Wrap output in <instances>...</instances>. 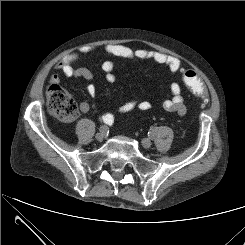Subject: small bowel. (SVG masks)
Here are the masks:
<instances>
[{
    "instance_id": "small-bowel-1",
    "label": "small bowel",
    "mask_w": 245,
    "mask_h": 245,
    "mask_svg": "<svg viewBox=\"0 0 245 245\" xmlns=\"http://www.w3.org/2000/svg\"><path fill=\"white\" fill-rule=\"evenodd\" d=\"M95 48L90 46H85L79 49L78 52L65 56L61 61L55 65L56 70H60L67 77H78L85 80H90L93 77L92 72L87 68H75L74 64L79 60V58ZM106 54L116 57L119 59L127 61H144L151 60L157 64L164 65L166 69L172 74H176L181 69V62L178 58L160 53L152 50H133L123 45L110 44L104 48ZM102 70L105 73L106 81L109 83H114L116 81V76L114 74V63L111 60H105L102 63ZM50 82L57 84L60 82V77L57 74L50 76ZM171 98L163 101L162 107L164 110L170 113L177 114L178 116H183L186 113V106L184 104V99L181 94V86L177 82H172L169 85ZM87 91L90 96H95L96 88L93 84L87 86ZM151 104L148 100H137L131 99L117 109L120 114H127L132 111L138 110L141 112H147L150 110ZM79 109L82 113H86L90 109V105L87 102H81L79 104ZM114 115L112 113H106L103 115V121L109 119V116Z\"/></svg>"
}]
</instances>
